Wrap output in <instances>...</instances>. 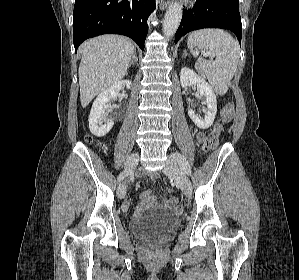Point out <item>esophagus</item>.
I'll return each instance as SVG.
<instances>
[{
    "instance_id": "esophagus-1",
    "label": "esophagus",
    "mask_w": 299,
    "mask_h": 280,
    "mask_svg": "<svg viewBox=\"0 0 299 280\" xmlns=\"http://www.w3.org/2000/svg\"><path fill=\"white\" fill-rule=\"evenodd\" d=\"M159 1V7L160 9H165L167 8L169 1L168 0H158Z\"/></svg>"
}]
</instances>
